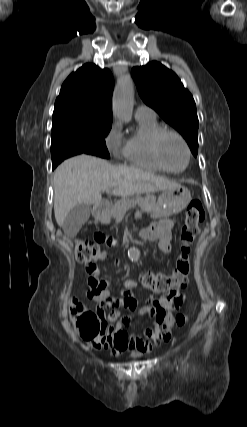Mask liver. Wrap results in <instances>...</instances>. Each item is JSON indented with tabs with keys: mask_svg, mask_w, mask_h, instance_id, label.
I'll list each match as a JSON object with an SVG mask.
<instances>
[{
	"mask_svg": "<svg viewBox=\"0 0 247 427\" xmlns=\"http://www.w3.org/2000/svg\"><path fill=\"white\" fill-rule=\"evenodd\" d=\"M179 184L140 168L114 166L106 160L79 155L65 160L54 172V214L61 227L78 204H98L102 191L115 196L163 191Z\"/></svg>",
	"mask_w": 247,
	"mask_h": 427,
	"instance_id": "1",
	"label": "liver"
}]
</instances>
